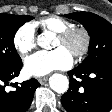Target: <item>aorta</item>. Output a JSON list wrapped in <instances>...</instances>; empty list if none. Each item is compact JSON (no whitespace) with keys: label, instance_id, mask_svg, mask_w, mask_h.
<instances>
[{"label":"aorta","instance_id":"1","mask_svg":"<svg viewBox=\"0 0 112 112\" xmlns=\"http://www.w3.org/2000/svg\"><path fill=\"white\" fill-rule=\"evenodd\" d=\"M51 43L49 33L41 34L37 38V44L44 49H48ZM49 85L57 93H65L69 88V80L65 75L55 73L49 78Z\"/></svg>","mask_w":112,"mask_h":112}]
</instances>
